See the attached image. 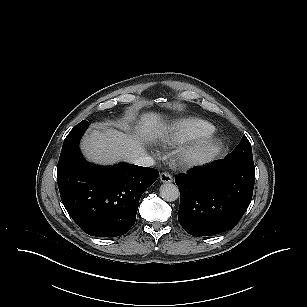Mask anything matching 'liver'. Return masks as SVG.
I'll return each mask as SVG.
<instances>
[{"label":"liver","mask_w":307,"mask_h":307,"mask_svg":"<svg viewBox=\"0 0 307 307\" xmlns=\"http://www.w3.org/2000/svg\"><path fill=\"white\" fill-rule=\"evenodd\" d=\"M167 130L162 116L151 112L142 115L133 134L103 127L102 130H92L87 134L81 147L86 158L95 163L112 164L119 160L131 162L146 153V144L164 138Z\"/></svg>","instance_id":"obj_1"}]
</instances>
